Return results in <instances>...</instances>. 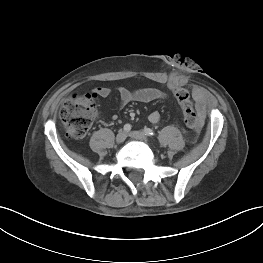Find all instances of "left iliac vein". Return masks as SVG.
Listing matches in <instances>:
<instances>
[{
	"mask_svg": "<svg viewBox=\"0 0 263 263\" xmlns=\"http://www.w3.org/2000/svg\"><path fill=\"white\" fill-rule=\"evenodd\" d=\"M129 136L135 140H139L145 143L148 142V137L141 131H132L129 133Z\"/></svg>",
	"mask_w": 263,
	"mask_h": 263,
	"instance_id": "1",
	"label": "left iliac vein"
}]
</instances>
